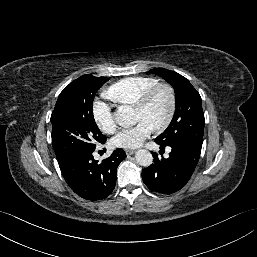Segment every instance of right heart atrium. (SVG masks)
<instances>
[{"instance_id": "d8ad5b80", "label": "right heart atrium", "mask_w": 257, "mask_h": 257, "mask_svg": "<svg viewBox=\"0 0 257 257\" xmlns=\"http://www.w3.org/2000/svg\"><path fill=\"white\" fill-rule=\"evenodd\" d=\"M95 109L93 113V118L98 128L103 133H106V134L113 133L116 128L113 115L110 112L106 111L107 112L106 115L102 117Z\"/></svg>"}]
</instances>
